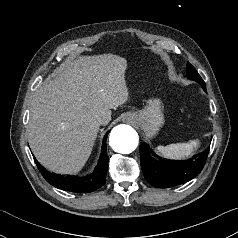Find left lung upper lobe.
Listing matches in <instances>:
<instances>
[{
	"mask_svg": "<svg viewBox=\"0 0 238 238\" xmlns=\"http://www.w3.org/2000/svg\"><path fill=\"white\" fill-rule=\"evenodd\" d=\"M187 77L191 80H194L200 83L201 86L206 90L203 79L190 63L187 64Z\"/></svg>",
	"mask_w": 238,
	"mask_h": 238,
	"instance_id": "5c2ea615",
	"label": "left lung upper lobe"
}]
</instances>
